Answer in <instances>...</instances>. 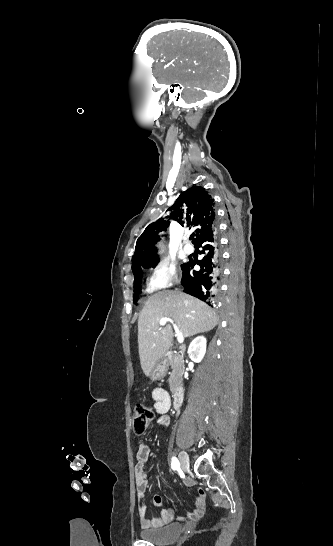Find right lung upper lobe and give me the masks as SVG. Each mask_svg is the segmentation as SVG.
I'll return each instance as SVG.
<instances>
[{
  "instance_id": "right-lung-upper-lobe-1",
  "label": "right lung upper lobe",
  "mask_w": 333,
  "mask_h": 546,
  "mask_svg": "<svg viewBox=\"0 0 333 546\" xmlns=\"http://www.w3.org/2000/svg\"><path fill=\"white\" fill-rule=\"evenodd\" d=\"M169 210L170 216L162 217L148 225L137 239L135 254L132 258L134 276L141 273L142 268L157 265L155 244L159 240L158 233L165 231L169 226L168 218L176 220L181 226L187 225L193 228L196 233L195 241L215 227L214 200L202 187H192L182 192Z\"/></svg>"
}]
</instances>
